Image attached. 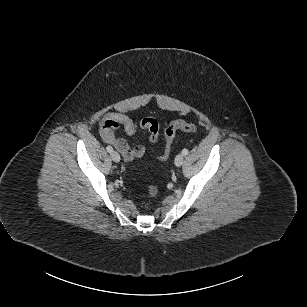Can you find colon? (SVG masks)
<instances>
[{
  "label": "colon",
  "instance_id": "obj_1",
  "mask_svg": "<svg viewBox=\"0 0 307 307\" xmlns=\"http://www.w3.org/2000/svg\"><path fill=\"white\" fill-rule=\"evenodd\" d=\"M184 131L188 133H194L197 131V126L192 123H188L184 120H175L168 124L165 128V149L164 153L159 157L161 161H166L171 152L172 143L177 131ZM158 193V189L156 186H149L148 187V194L151 196H155Z\"/></svg>",
  "mask_w": 307,
  "mask_h": 307
}]
</instances>
